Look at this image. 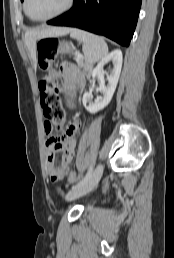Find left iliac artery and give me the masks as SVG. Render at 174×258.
<instances>
[{
  "label": "left iliac artery",
  "mask_w": 174,
  "mask_h": 258,
  "mask_svg": "<svg viewBox=\"0 0 174 258\" xmlns=\"http://www.w3.org/2000/svg\"><path fill=\"white\" fill-rule=\"evenodd\" d=\"M92 172H93V169H92V167H90V169H89V171L87 172V174L85 175V177H84L82 180H80L75 186H73L72 189H75V188H77V187H80V186L84 185L86 182H88L89 179H90L91 176H92Z\"/></svg>",
  "instance_id": "obj_1"
}]
</instances>
